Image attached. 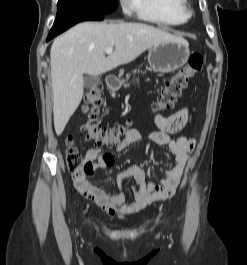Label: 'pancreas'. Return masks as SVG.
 <instances>
[{"instance_id": "1", "label": "pancreas", "mask_w": 247, "mask_h": 265, "mask_svg": "<svg viewBox=\"0 0 247 265\" xmlns=\"http://www.w3.org/2000/svg\"><path fill=\"white\" fill-rule=\"evenodd\" d=\"M124 87H128V85L126 84V85H124Z\"/></svg>"}]
</instances>
